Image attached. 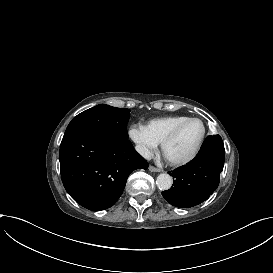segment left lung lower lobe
Returning a JSON list of instances; mask_svg holds the SVG:
<instances>
[{
  "label": "left lung lower lobe",
  "instance_id": "1",
  "mask_svg": "<svg viewBox=\"0 0 273 273\" xmlns=\"http://www.w3.org/2000/svg\"><path fill=\"white\" fill-rule=\"evenodd\" d=\"M224 157L220 135L208 136L195 159L169 172L173 186L163 191L162 196L179 208H190L207 200L219 185Z\"/></svg>",
  "mask_w": 273,
  "mask_h": 273
}]
</instances>
